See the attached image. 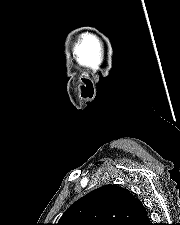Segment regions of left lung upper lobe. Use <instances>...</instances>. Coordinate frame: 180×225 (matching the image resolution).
<instances>
[{
    "instance_id": "left-lung-upper-lobe-1",
    "label": "left lung upper lobe",
    "mask_w": 180,
    "mask_h": 225,
    "mask_svg": "<svg viewBox=\"0 0 180 225\" xmlns=\"http://www.w3.org/2000/svg\"><path fill=\"white\" fill-rule=\"evenodd\" d=\"M144 212L142 202L128 190L106 185L71 205L57 225H129Z\"/></svg>"
}]
</instances>
